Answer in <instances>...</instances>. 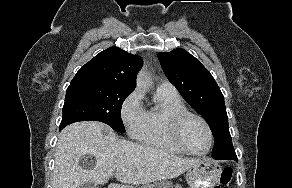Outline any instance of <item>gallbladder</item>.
Masks as SVG:
<instances>
[{
    "mask_svg": "<svg viewBox=\"0 0 292 188\" xmlns=\"http://www.w3.org/2000/svg\"><path fill=\"white\" fill-rule=\"evenodd\" d=\"M96 187L97 186L95 185L94 182H84L78 188H96Z\"/></svg>",
    "mask_w": 292,
    "mask_h": 188,
    "instance_id": "obj_1",
    "label": "gallbladder"
}]
</instances>
